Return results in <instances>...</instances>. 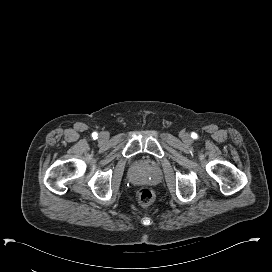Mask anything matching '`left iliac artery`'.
I'll use <instances>...</instances> for the list:
<instances>
[{"mask_svg": "<svg viewBox=\"0 0 272 272\" xmlns=\"http://www.w3.org/2000/svg\"><path fill=\"white\" fill-rule=\"evenodd\" d=\"M192 137H193V138H196V135L193 133V134H192Z\"/></svg>", "mask_w": 272, "mask_h": 272, "instance_id": "obj_1", "label": "left iliac artery"}]
</instances>
